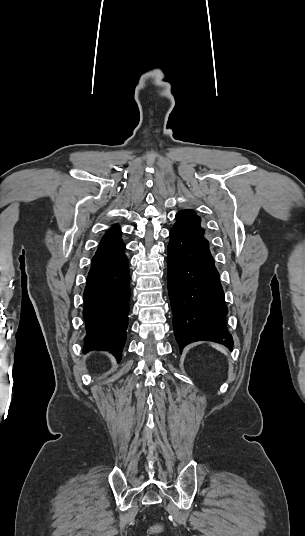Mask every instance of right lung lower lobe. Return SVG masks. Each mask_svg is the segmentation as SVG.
Instances as JSON below:
<instances>
[{"label":"right lung lower lobe","mask_w":305,"mask_h":536,"mask_svg":"<svg viewBox=\"0 0 305 536\" xmlns=\"http://www.w3.org/2000/svg\"><path fill=\"white\" fill-rule=\"evenodd\" d=\"M125 245L96 253L84 291V350L110 351L118 361L126 341L129 269Z\"/></svg>","instance_id":"right-lung-lower-lobe-1"}]
</instances>
